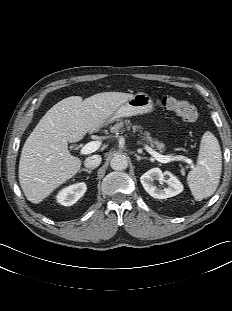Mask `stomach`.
<instances>
[{"instance_id":"obj_1","label":"stomach","mask_w":232,"mask_h":311,"mask_svg":"<svg viewBox=\"0 0 232 311\" xmlns=\"http://www.w3.org/2000/svg\"><path fill=\"white\" fill-rule=\"evenodd\" d=\"M154 109V103L152 98L143 92H139L133 95L127 102L122 104L114 113L111 115L105 124L112 123L113 121L122 117H131L135 115H141L151 112Z\"/></svg>"}]
</instances>
